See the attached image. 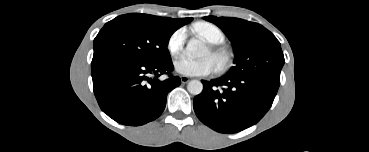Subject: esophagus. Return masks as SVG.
<instances>
[{
	"label": "esophagus",
	"instance_id": "esophagus-1",
	"mask_svg": "<svg viewBox=\"0 0 369 152\" xmlns=\"http://www.w3.org/2000/svg\"><path fill=\"white\" fill-rule=\"evenodd\" d=\"M180 79L183 84H186L190 80L187 76H180Z\"/></svg>",
	"mask_w": 369,
	"mask_h": 152
}]
</instances>
